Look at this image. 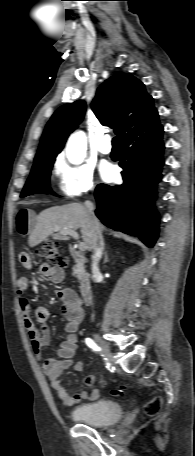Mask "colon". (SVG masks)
Masks as SVG:
<instances>
[{"mask_svg":"<svg viewBox=\"0 0 195 456\" xmlns=\"http://www.w3.org/2000/svg\"><path fill=\"white\" fill-rule=\"evenodd\" d=\"M36 253L50 266H63L65 264V261L60 253L59 246L55 242L45 243L42 247L37 249ZM116 393L120 394L121 392L116 391ZM161 405V398L155 397L145 404V413L149 416H154L159 413Z\"/></svg>","mask_w":195,"mask_h":456,"instance_id":"colon-1","label":"colon"}]
</instances>
